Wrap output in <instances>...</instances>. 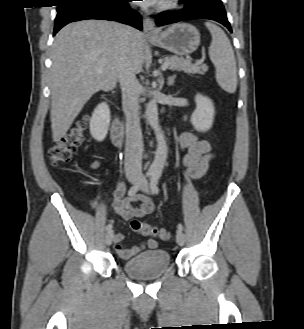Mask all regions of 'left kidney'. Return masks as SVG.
Here are the masks:
<instances>
[{
    "mask_svg": "<svg viewBox=\"0 0 304 329\" xmlns=\"http://www.w3.org/2000/svg\"><path fill=\"white\" fill-rule=\"evenodd\" d=\"M196 109L191 115V123L199 132L208 131L213 124L214 119V105L212 101L201 94L195 97Z\"/></svg>",
    "mask_w": 304,
    "mask_h": 329,
    "instance_id": "obj_1",
    "label": "left kidney"
}]
</instances>
